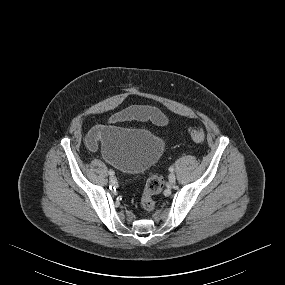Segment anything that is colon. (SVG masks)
I'll list each match as a JSON object with an SVG mask.
<instances>
[{"label":"colon","instance_id":"5ec220e1","mask_svg":"<svg viewBox=\"0 0 285 285\" xmlns=\"http://www.w3.org/2000/svg\"><path fill=\"white\" fill-rule=\"evenodd\" d=\"M189 136L192 141L202 143L205 140V132L200 127H191ZM163 187V180L160 176H151L143 189L141 196V206L146 211H152L155 208L154 196L158 194Z\"/></svg>","mask_w":285,"mask_h":285}]
</instances>
